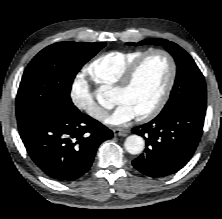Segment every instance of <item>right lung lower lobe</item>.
I'll list each match as a JSON object with an SVG mask.
<instances>
[{
    "instance_id": "1",
    "label": "right lung lower lobe",
    "mask_w": 222,
    "mask_h": 219,
    "mask_svg": "<svg viewBox=\"0 0 222 219\" xmlns=\"http://www.w3.org/2000/svg\"><path fill=\"white\" fill-rule=\"evenodd\" d=\"M18 127L33 162L49 178L60 182L84 175L97 147L113 137L111 130L69 103H57Z\"/></svg>"
}]
</instances>
